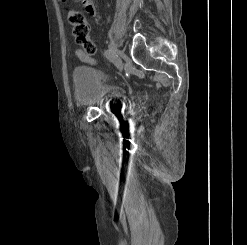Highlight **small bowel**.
<instances>
[{
    "mask_svg": "<svg viewBox=\"0 0 247 245\" xmlns=\"http://www.w3.org/2000/svg\"><path fill=\"white\" fill-rule=\"evenodd\" d=\"M59 1L63 2L62 0H59ZM74 1L81 2L85 7L86 12L91 17L96 19V10H95L91 0H74ZM74 55L83 62L90 63V64L96 63V60L93 58L92 55L86 53L85 51H83L81 49L75 50Z\"/></svg>",
    "mask_w": 247,
    "mask_h": 245,
    "instance_id": "c3829d8e",
    "label": "small bowel"
}]
</instances>
